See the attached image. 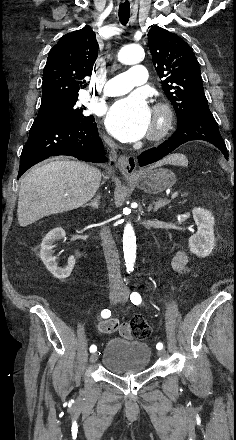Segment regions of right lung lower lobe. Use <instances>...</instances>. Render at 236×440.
I'll return each mask as SVG.
<instances>
[{"label":"right lung lower lobe","instance_id":"1","mask_svg":"<svg viewBox=\"0 0 236 440\" xmlns=\"http://www.w3.org/2000/svg\"><path fill=\"white\" fill-rule=\"evenodd\" d=\"M94 121L36 117L21 153L18 178L33 165L51 156L68 155L87 162H105L103 143Z\"/></svg>","mask_w":236,"mask_h":440}]
</instances>
